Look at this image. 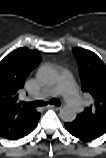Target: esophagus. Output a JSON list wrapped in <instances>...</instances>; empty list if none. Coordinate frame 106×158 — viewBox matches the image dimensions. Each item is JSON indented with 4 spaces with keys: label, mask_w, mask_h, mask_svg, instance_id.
Segmentation results:
<instances>
[{
    "label": "esophagus",
    "mask_w": 106,
    "mask_h": 158,
    "mask_svg": "<svg viewBox=\"0 0 106 158\" xmlns=\"http://www.w3.org/2000/svg\"><path fill=\"white\" fill-rule=\"evenodd\" d=\"M64 102H61L59 105H55V104H50L48 105L49 108H54V109H61L64 106Z\"/></svg>",
    "instance_id": "1"
}]
</instances>
